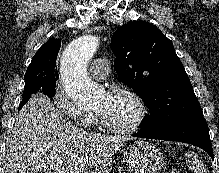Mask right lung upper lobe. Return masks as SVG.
Returning a JSON list of instances; mask_svg holds the SVG:
<instances>
[{"label": "right lung upper lobe", "mask_w": 219, "mask_h": 173, "mask_svg": "<svg viewBox=\"0 0 219 173\" xmlns=\"http://www.w3.org/2000/svg\"><path fill=\"white\" fill-rule=\"evenodd\" d=\"M61 46V41L56 38L49 39L34 55L29 66L42 67L45 70H52L58 76L56 58Z\"/></svg>", "instance_id": "right-lung-upper-lobe-1"}]
</instances>
